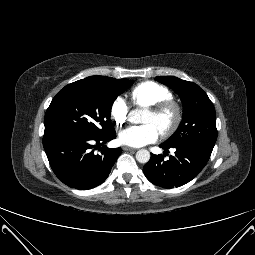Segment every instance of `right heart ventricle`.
<instances>
[{
    "mask_svg": "<svg viewBox=\"0 0 255 255\" xmlns=\"http://www.w3.org/2000/svg\"><path fill=\"white\" fill-rule=\"evenodd\" d=\"M129 96L138 107H148L162 100L173 98L172 92L167 87L154 81L137 84L131 89Z\"/></svg>",
    "mask_w": 255,
    "mask_h": 255,
    "instance_id": "e07e8e85",
    "label": "right heart ventricle"
}]
</instances>
